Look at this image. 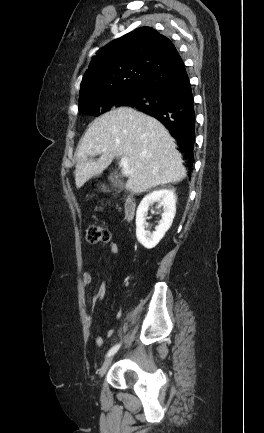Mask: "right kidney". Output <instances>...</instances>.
<instances>
[{"label":"right kidney","instance_id":"right-kidney-1","mask_svg":"<svg viewBox=\"0 0 264 433\" xmlns=\"http://www.w3.org/2000/svg\"><path fill=\"white\" fill-rule=\"evenodd\" d=\"M160 202L163 206L162 218L152 233L145 229L149 206ZM176 213V195L174 189L156 190L146 195L140 202L136 212V236L147 249L154 248L172 225Z\"/></svg>","mask_w":264,"mask_h":433}]
</instances>
